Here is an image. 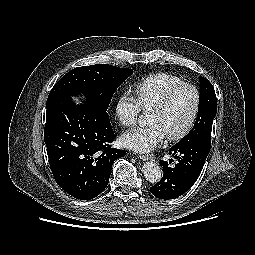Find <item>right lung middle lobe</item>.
Returning <instances> with one entry per match:
<instances>
[{"mask_svg":"<svg viewBox=\"0 0 255 255\" xmlns=\"http://www.w3.org/2000/svg\"><path fill=\"white\" fill-rule=\"evenodd\" d=\"M132 69L119 68L108 64L77 67L66 73L52 88L46 106L58 97H86L84 106L103 124H110L108 106L117 88L131 74Z\"/></svg>","mask_w":255,"mask_h":255,"instance_id":"1","label":"right lung middle lobe"}]
</instances>
